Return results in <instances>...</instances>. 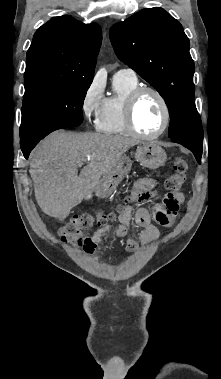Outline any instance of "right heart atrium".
Instances as JSON below:
<instances>
[{
	"label": "right heart atrium",
	"mask_w": 221,
	"mask_h": 379,
	"mask_svg": "<svg viewBox=\"0 0 221 379\" xmlns=\"http://www.w3.org/2000/svg\"><path fill=\"white\" fill-rule=\"evenodd\" d=\"M104 86L98 79H93L87 86L82 100L81 110L89 120H96L105 104Z\"/></svg>",
	"instance_id": "d8ad5b80"
}]
</instances>
